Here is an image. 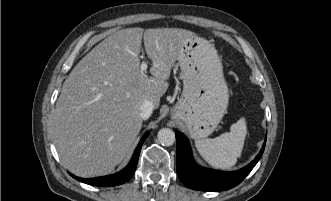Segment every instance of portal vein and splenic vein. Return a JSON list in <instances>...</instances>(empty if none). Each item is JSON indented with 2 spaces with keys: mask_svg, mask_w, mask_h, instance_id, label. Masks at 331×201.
Returning <instances> with one entry per match:
<instances>
[{
  "mask_svg": "<svg viewBox=\"0 0 331 201\" xmlns=\"http://www.w3.org/2000/svg\"><path fill=\"white\" fill-rule=\"evenodd\" d=\"M147 67H148L147 63L142 62L141 67H140L141 73L145 72Z\"/></svg>",
  "mask_w": 331,
  "mask_h": 201,
  "instance_id": "18ae733b",
  "label": "portal vein and splenic vein"
}]
</instances>
